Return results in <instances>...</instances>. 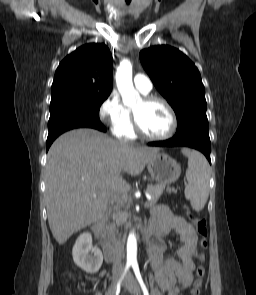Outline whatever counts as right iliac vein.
Instances as JSON below:
<instances>
[{
	"label": "right iliac vein",
	"instance_id": "63e3f726",
	"mask_svg": "<svg viewBox=\"0 0 256 295\" xmlns=\"http://www.w3.org/2000/svg\"><path fill=\"white\" fill-rule=\"evenodd\" d=\"M119 277H120V274L113 275V277H112V283H111V286L109 288L108 295H112V293L114 292L115 287H116V283H117Z\"/></svg>",
	"mask_w": 256,
	"mask_h": 295
}]
</instances>
